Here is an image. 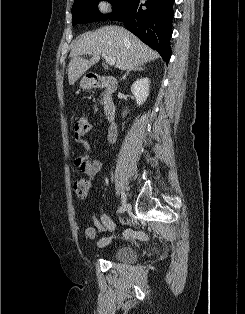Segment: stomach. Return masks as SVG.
Instances as JSON below:
<instances>
[{"instance_id":"stomach-1","label":"stomach","mask_w":245,"mask_h":314,"mask_svg":"<svg viewBox=\"0 0 245 314\" xmlns=\"http://www.w3.org/2000/svg\"><path fill=\"white\" fill-rule=\"evenodd\" d=\"M92 86H93V83L91 82V80H90L88 77L84 76V77L81 79V81H80V87H81L82 89H90V88H92Z\"/></svg>"}]
</instances>
